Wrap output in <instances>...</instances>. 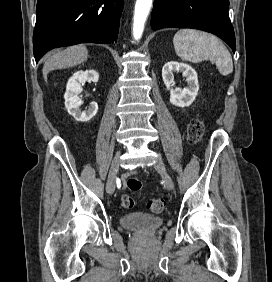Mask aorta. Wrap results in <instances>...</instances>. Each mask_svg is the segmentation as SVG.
Returning <instances> with one entry per match:
<instances>
[{"label": "aorta", "mask_w": 272, "mask_h": 282, "mask_svg": "<svg viewBox=\"0 0 272 282\" xmlns=\"http://www.w3.org/2000/svg\"><path fill=\"white\" fill-rule=\"evenodd\" d=\"M152 1L153 0H136L133 18V37L135 40H139L142 37Z\"/></svg>", "instance_id": "aorta-1"}]
</instances>
